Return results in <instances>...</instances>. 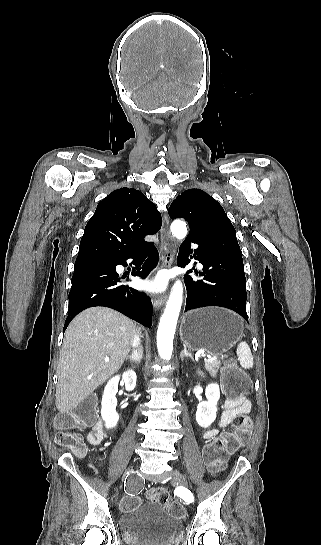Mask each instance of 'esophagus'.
Wrapping results in <instances>:
<instances>
[{
    "instance_id": "1",
    "label": "esophagus",
    "mask_w": 321,
    "mask_h": 545,
    "mask_svg": "<svg viewBox=\"0 0 321 545\" xmlns=\"http://www.w3.org/2000/svg\"><path fill=\"white\" fill-rule=\"evenodd\" d=\"M167 219H168V216L165 213L164 223H163V226H162V229H161V244H162V246H161L160 254H161V260H162V266L170 268L171 265H172V262L174 260L175 244H174L173 237L171 236V234H170V232L168 230ZM165 301H166V296L165 295L158 296L154 300V307L156 309L160 308L165 303Z\"/></svg>"
}]
</instances>
